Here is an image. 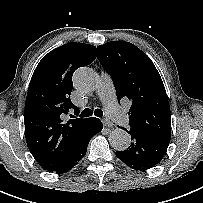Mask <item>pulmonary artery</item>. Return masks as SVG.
<instances>
[{"instance_id":"obj_1","label":"pulmonary artery","mask_w":203,"mask_h":203,"mask_svg":"<svg viewBox=\"0 0 203 203\" xmlns=\"http://www.w3.org/2000/svg\"><path fill=\"white\" fill-rule=\"evenodd\" d=\"M98 94L103 102L108 116L118 124L127 126L129 118L118 105L113 82L106 73H102L101 75L98 86Z\"/></svg>"}]
</instances>
